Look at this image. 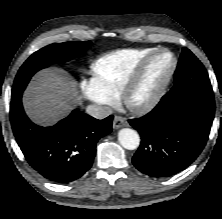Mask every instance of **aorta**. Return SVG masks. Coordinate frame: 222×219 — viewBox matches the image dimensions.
Segmentation results:
<instances>
[{"mask_svg": "<svg viewBox=\"0 0 222 219\" xmlns=\"http://www.w3.org/2000/svg\"><path fill=\"white\" fill-rule=\"evenodd\" d=\"M118 140L120 144L128 150L136 149L140 144L138 133L130 128H123L118 132Z\"/></svg>", "mask_w": 222, "mask_h": 219, "instance_id": "1", "label": "aorta"}]
</instances>
